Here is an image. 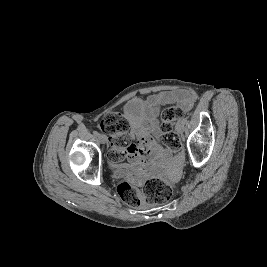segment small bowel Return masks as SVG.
<instances>
[{"label": "small bowel", "mask_w": 267, "mask_h": 267, "mask_svg": "<svg viewBox=\"0 0 267 267\" xmlns=\"http://www.w3.org/2000/svg\"><path fill=\"white\" fill-rule=\"evenodd\" d=\"M195 100L190 91H164L153 94L144 103L138 105L144 113L141 119H132V147L127 162L115 167V177L132 184H141L151 175L156 178L176 177L179 173L180 157L172 156L160 143L156 130L159 107L177 104L188 110ZM171 167L170 172L167 168Z\"/></svg>", "instance_id": "1"}]
</instances>
